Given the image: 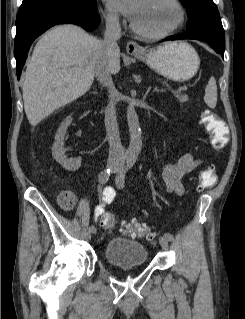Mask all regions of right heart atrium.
Returning <instances> with one entry per match:
<instances>
[{
  "label": "right heart atrium",
  "mask_w": 245,
  "mask_h": 319,
  "mask_svg": "<svg viewBox=\"0 0 245 319\" xmlns=\"http://www.w3.org/2000/svg\"><path fill=\"white\" fill-rule=\"evenodd\" d=\"M105 17L108 24L111 27H117L119 24V15L118 13L112 9L111 7H107L105 10Z\"/></svg>",
  "instance_id": "obj_1"
}]
</instances>
